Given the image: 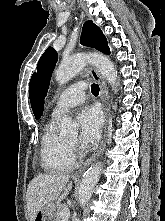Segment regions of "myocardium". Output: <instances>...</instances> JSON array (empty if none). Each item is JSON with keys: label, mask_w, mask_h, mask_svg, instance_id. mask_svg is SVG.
<instances>
[{"label": "myocardium", "mask_w": 165, "mask_h": 221, "mask_svg": "<svg viewBox=\"0 0 165 221\" xmlns=\"http://www.w3.org/2000/svg\"><path fill=\"white\" fill-rule=\"evenodd\" d=\"M68 145L71 147V149L73 150V152H76V143L75 142H71L69 140H67Z\"/></svg>", "instance_id": "1"}]
</instances>
